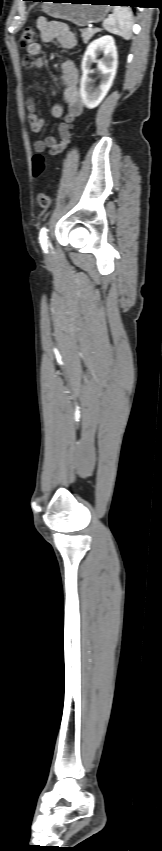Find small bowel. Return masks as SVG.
<instances>
[{
	"label": "small bowel",
	"instance_id": "obj_1",
	"mask_svg": "<svg viewBox=\"0 0 162 851\" xmlns=\"http://www.w3.org/2000/svg\"><path fill=\"white\" fill-rule=\"evenodd\" d=\"M37 27L40 30L43 43L57 41L65 49H72L76 46L77 40L74 33L63 22L39 18L37 20ZM42 48V44L40 43H35L27 48L29 57L24 59L25 67L42 68L45 65V59L40 56ZM61 75L64 84L63 99L67 105V109L65 111L60 104H54L51 108L53 117L62 118L58 126V137L48 136L44 139H37L34 142L35 151L44 152L47 150L52 156L62 153L69 145L75 121L82 114L84 108L79 97V75L75 64L72 61H65L61 67ZM26 106L29 112L30 129L33 133L40 134L44 128V119L37 114L35 101L29 98Z\"/></svg>",
	"mask_w": 162,
	"mask_h": 851
}]
</instances>
